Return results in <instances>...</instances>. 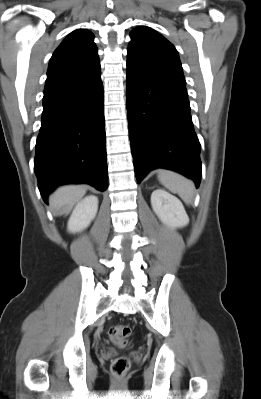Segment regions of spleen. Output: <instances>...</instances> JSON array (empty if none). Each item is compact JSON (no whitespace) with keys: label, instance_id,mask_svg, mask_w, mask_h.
<instances>
[{"label":"spleen","instance_id":"3e777b00","mask_svg":"<svg viewBox=\"0 0 261 399\" xmlns=\"http://www.w3.org/2000/svg\"><path fill=\"white\" fill-rule=\"evenodd\" d=\"M158 179L168 190L177 193L187 204L194 199V184L185 177L169 170H160Z\"/></svg>","mask_w":261,"mask_h":399}]
</instances>
